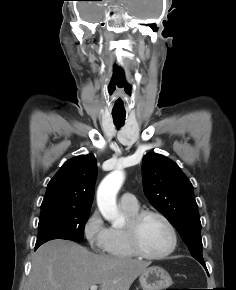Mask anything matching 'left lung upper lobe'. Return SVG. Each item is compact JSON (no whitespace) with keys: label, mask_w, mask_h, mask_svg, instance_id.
<instances>
[{"label":"left lung upper lobe","mask_w":236,"mask_h":290,"mask_svg":"<svg viewBox=\"0 0 236 290\" xmlns=\"http://www.w3.org/2000/svg\"><path fill=\"white\" fill-rule=\"evenodd\" d=\"M142 176L150 203L176 228L192 256L204 263L201 222L189 179L174 161L156 153L144 156Z\"/></svg>","instance_id":"5c2ea615"}]
</instances>
